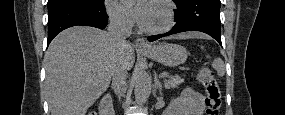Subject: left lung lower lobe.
I'll return each instance as SVG.
<instances>
[{
    "instance_id": "0a47b994",
    "label": "left lung lower lobe",
    "mask_w": 285,
    "mask_h": 115,
    "mask_svg": "<svg viewBox=\"0 0 285 115\" xmlns=\"http://www.w3.org/2000/svg\"><path fill=\"white\" fill-rule=\"evenodd\" d=\"M175 26L167 33L149 36V41L185 32L201 31L221 44L220 0H180L175 2Z\"/></svg>"
}]
</instances>
